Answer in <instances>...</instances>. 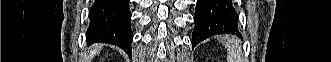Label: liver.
<instances>
[{
    "instance_id": "liver-1",
    "label": "liver",
    "mask_w": 331,
    "mask_h": 62,
    "mask_svg": "<svg viewBox=\"0 0 331 62\" xmlns=\"http://www.w3.org/2000/svg\"><path fill=\"white\" fill-rule=\"evenodd\" d=\"M100 48H101V46H99V45H94V46H92V47L90 48V50H91L92 52H97V51L100 50Z\"/></svg>"
}]
</instances>
